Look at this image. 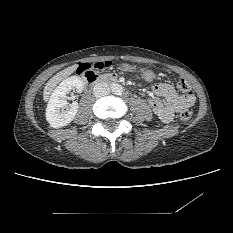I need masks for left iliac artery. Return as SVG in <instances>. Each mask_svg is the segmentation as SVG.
<instances>
[{
  "instance_id": "1",
  "label": "left iliac artery",
  "mask_w": 233,
  "mask_h": 233,
  "mask_svg": "<svg viewBox=\"0 0 233 233\" xmlns=\"http://www.w3.org/2000/svg\"><path fill=\"white\" fill-rule=\"evenodd\" d=\"M123 94V88L122 87H119L117 89V95H122Z\"/></svg>"
}]
</instances>
